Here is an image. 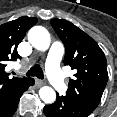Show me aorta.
I'll return each instance as SVG.
<instances>
[{
	"mask_svg": "<svg viewBox=\"0 0 117 117\" xmlns=\"http://www.w3.org/2000/svg\"><path fill=\"white\" fill-rule=\"evenodd\" d=\"M28 41L37 50L45 51L49 48L51 39L46 28L42 26H34L28 32ZM39 96L46 104H51L56 99L55 91L49 86H43L39 90Z\"/></svg>",
	"mask_w": 117,
	"mask_h": 117,
	"instance_id": "obj_1",
	"label": "aorta"
}]
</instances>
